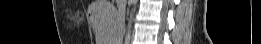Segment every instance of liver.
Listing matches in <instances>:
<instances>
[{"label": "liver", "mask_w": 261, "mask_h": 44, "mask_svg": "<svg viewBox=\"0 0 261 44\" xmlns=\"http://www.w3.org/2000/svg\"><path fill=\"white\" fill-rule=\"evenodd\" d=\"M92 13H109V14H92L94 24H122V19H119L117 8L109 4L108 0H95L89 7ZM93 30H97L96 42L98 44H119V41L109 40H122V30L119 25H93Z\"/></svg>", "instance_id": "liver-1"}]
</instances>
